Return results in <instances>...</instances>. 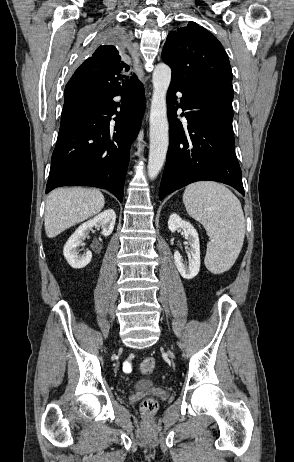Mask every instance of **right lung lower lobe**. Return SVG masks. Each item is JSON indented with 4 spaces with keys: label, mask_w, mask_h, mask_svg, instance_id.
Segmentation results:
<instances>
[{
    "label": "right lung lower lobe",
    "mask_w": 294,
    "mask_h": 462,
    "mask_svg": "<svg viewBox=\"0 0 294 462\" xmlns=\"http://www.w3.org/2000/svg\"><path fill=\"white\" fill-rule=\"evenodd\" d=\"M118 95L124 97L121 104L113 101ZM65 102L73 103L62 110L46 193L60 186H94L122 202L130 146L145 108L142 84L135 76L121 89L94 96L77 93Z\"/></svg>",
    "instance_id": "right-lung-lower-lobe-1"
}]
</instances>
